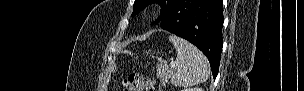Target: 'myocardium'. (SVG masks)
<instances>
[{
  "mask_svg": "<svg viewBox=\"0 0 304 91\" xmlns=\"http://www.w3.org/2000/svg\"><path fill=\"white\" fill-rule=\"evenodd\" d=\"M149 13H150V10H145L144 11V15H146V16L149 15Z\"/></svg>",
  "mask_w": 304,
  "mask_h": 91,
  "instance_id": "1",
  "label": "myocardium"
}]
</instances>
